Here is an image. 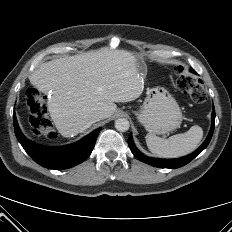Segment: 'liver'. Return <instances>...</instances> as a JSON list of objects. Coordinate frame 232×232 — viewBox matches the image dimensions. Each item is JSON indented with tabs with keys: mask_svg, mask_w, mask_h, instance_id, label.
<instances>
[{
	"mask_svg": "<svg viewBox=\"0 0 232 232\" xmlns=\"http://www.w3.org/2000/svg\"><path fill=\"white\" fill-rule=\"evenodd\" d=\"M125 50L88 51L40 65L29 79L49 93L48 110L64 137L76 136L91 126L90 116L111 117L115 102H130L143 92L146 67Z\"/></svg>",
	"mask_w": 232,
	"mask_h": 232,
	"instance_id": "6515ba94",
	"label": "liver"
}]
</instances>
